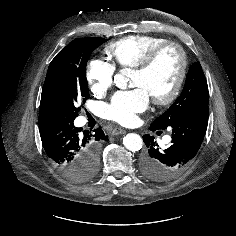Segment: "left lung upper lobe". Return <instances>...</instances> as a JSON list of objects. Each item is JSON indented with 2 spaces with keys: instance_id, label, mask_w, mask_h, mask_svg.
Here are the masks:
<instances>
[{
  "instance_id": "5c2ea615",
  "label": "left lung upper lobe",
  "mask_w": 236,
  "mask_h": 236,
  "mask_svg": "<svg viewBox=\"0 0 236 236\" xmlns=\"http://www.w3.org/2000/svg\"><path fill=\"white\" fill-rule=\"evenodd\" d=\"M209 102L208 86L199 62L194 63L187 74L184 89L171 107L159 116L150 129L163 130L190 108Z\"/></svg>"
}]
</instances>
